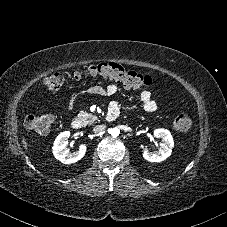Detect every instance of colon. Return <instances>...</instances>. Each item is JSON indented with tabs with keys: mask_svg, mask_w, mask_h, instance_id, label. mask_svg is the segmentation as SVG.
<instances>
[{
	"mask_svg": "<svg viewBox=\"0 0 227 227\" xmlns=\"http://www.w3.org/2000/svg\"><path fill=\"white\" fill-rule=\"evenodd\" d=\"M96 76L117 80L127 88H142L152 83V79L149 75L139 74L115 62H107L89 66L73 75L62 72L52 73L45 77L44 84L49 90H58L71 78ZM54 121L55 117L52 114H31L26 117L25 125L35 134H44L50 130ZM191 126L192 120L186 113L178 114L173 121V129L180 133L188 131Z\"/></svg>",
	"mask_w": 227,
	"mask_h": 227,
	"instance_id": "colon-1",
	"label": "colon"
}]
</instances>
